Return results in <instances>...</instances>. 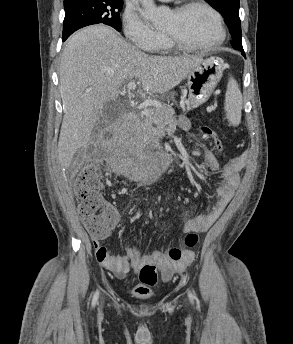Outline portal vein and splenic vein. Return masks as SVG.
<instances>
[{
    "label": "portal vein and splenic vein",
    "instance_id": "1",
    "mask_svg": "<svg viewBox=\"0 0 293 344\" xmlns=\"http://www.w3.org/2000/svg\"><path fill=\"white\" fill-rule=\"evenodd\" d=\"M137 84L134 82V81H130L128 84H127V88L129 90H134L136 88Z\"/></svg>",
    "mask_w": 293,
    "mask_h": 344
}]
</instances>
